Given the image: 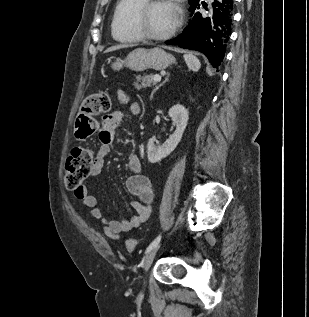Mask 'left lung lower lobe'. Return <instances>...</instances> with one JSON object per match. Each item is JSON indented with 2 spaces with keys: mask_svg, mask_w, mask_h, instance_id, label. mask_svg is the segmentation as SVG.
<instances>
[{
  "mask_svg": "<svg viewBox=\"0 0 309 317\" xmlns=\"http://www.w3.org/2000/svg\"><path fill=\"white\" fill-rule=\"evenodd\" d=\"M234 4L235 0H214L204 13L195 12L196 8L199 9V3L192 6L188 26L181 35L166 41V44L199 51L214 68H219L231 34Z\"/></svg>",
  "mask_w": 309,
  "mask_h": 317,
  "instance_id": "obj_1",
  "label": "left lung lower lobe"
}]
</instances>
